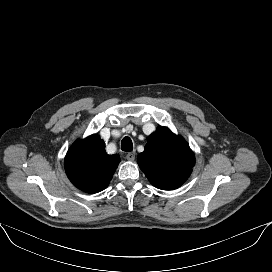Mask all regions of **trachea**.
Segmentation results:
<instances>
[{"mask_svg": "<svg viewBox=\"0 0 272 272\" xmlns=\"http://www.w3.org/2000/svg\"><path fill=\"white\" fill-rule=\"evenodd\" d=\"M121 149L125 152H131L133 150V143L129 137H124L121 141Z\"/></svg>", "mask_w": 272, "mask_h": 272, "instance_id": "obj_1", "label": "trachea"}]
</instances>
